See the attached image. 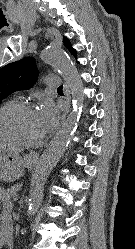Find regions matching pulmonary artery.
<instances>
[{"label": "pulmonary artery", "mask_w": 135, "mask_h": 249, "mask_svg": "<svg viewBox=\"0 0 135 249\" xmlns=\"http://www.w3.org/2000/svg\"><path fill=\"white\" fill-rule=\"evenodd\" d=\"M45 84L47 87H58L59 86V77L58 76H53V75H48L45 77Z\"/></svg>", "instance_id": "e3ab8cb5"}]
</instances>
